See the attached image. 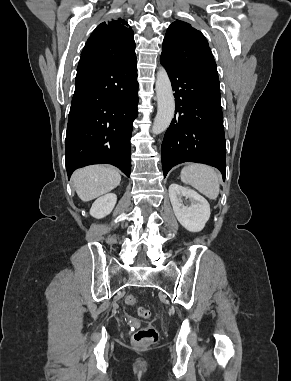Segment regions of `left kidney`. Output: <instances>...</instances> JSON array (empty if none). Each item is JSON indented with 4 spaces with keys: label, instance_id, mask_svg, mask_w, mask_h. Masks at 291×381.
<instances>
[{
    "label": "left kidney",
    "instance_id": "obj_1",
    "mask_svg": "<svg viewBox=\"0 0 291 381\" xmlns=\"http://www.w3.org/2000/svg\"><path fill=\"white\" fill-rule=\"evenodd\" d=\"M169 197L174 214L179 223L190 232H199L210 218L208 201L196 191L182 187L178 184L169 186ZM183 198L189 204L183 203Z\"/></svg>",
    "mask_w": 291,
    "mask_h": 381
}]
</instances>
